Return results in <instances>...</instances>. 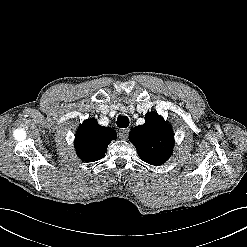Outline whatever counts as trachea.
Here are the masks:
<instances>
[{"mask_svg":"<svg viewBox=\"0 0 247 247\" xmlns=\"http://www.w3.org/2000/svg\"><path fill=\"white\" fill-rule=\"evenodd\" d=\"M116 123L119 128H127L130 122L127 116L120 115L118 116Z\"/></svg>","mask_w":247,"mask_h":247,"instance_id":"trachea-1","label":"trachea"}]
</instances>
